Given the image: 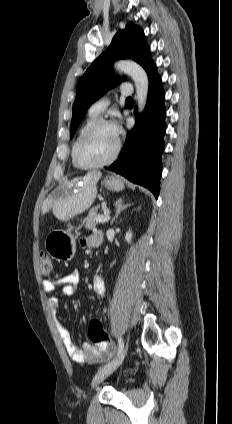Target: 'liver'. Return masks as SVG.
<instances>
[{"label":"liver","mask_w":232,"mask_h":424,"mask_svg":"<svg viewBox=\"0 0 232 424\" xmlns=\"http://www.w3.org/2000/svg\"><path fill=\"white\" fill-rule=\"evenodd\" d=\"M101 176L100 171H91L83 177L64 182L56 195L43 201L41 213L45 214L52 210L57 219L67 221L89 209L96 198L97 182Z\"/></svg>","instance_id":"1"}]
</instances>
